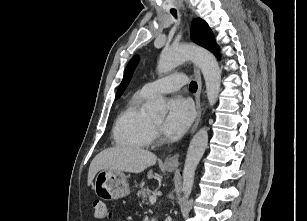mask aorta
Segmentation results:
<instances>
[{"label":"aorta","instance_id":"obj_1","mask_svg":"<svg viewBox=\"0 0 307 221\" xmlns=\"http://www.w3.org/2000/svg\"><path fill=\"white\" fill-rule=\"evenodd\" d=\"M187 60L193 61L201 70L206 84L207 99L213 106L219 96L221 87V70L216 58L207 50L181 45L165 49L161 52L157 69L159 73H168ZM147 111L152 115L164 116L166 113L165 101L162 97L147 106ZM208 144L207 128L200 129L192 138L183 168L182 191L185 198L191 194L196 168Z\"/></svg>","mask_w":307,"mask_h":221}]
</instances>
